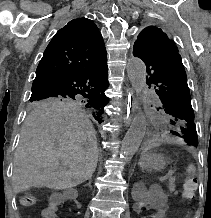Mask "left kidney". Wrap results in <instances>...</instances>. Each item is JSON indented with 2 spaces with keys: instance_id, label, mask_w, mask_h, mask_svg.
Wrapping results in <instances>:
<instances>
[{
  "instance_id": "1",
  "label": "left kidney",
  "mask_w": 211,
  "mask_h": 218,
  "mask_svg": "<svg viewBox=\"0 0 211 218\" xmlns=\"http://www.w3.org/2000/svg\"><path fill=\"white\" fill-rule=\"evenodd\" d=\"M145 207H151V218H165L171 212V207H166V198H151L150 192L146 198H139V202H135L134 215H148Z\"/></svg>"
}]
</instances>
